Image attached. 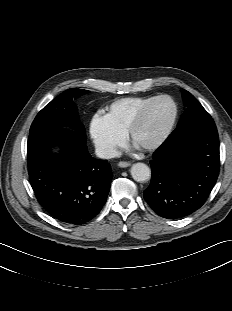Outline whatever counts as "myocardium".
<instances>
[{"instance_id": "myocardium-1", "label": "myocardium", "mask_w": 232, "mask_h": 311, "mask_svg": "<svg viewBox=\"0 0 232 311\" xmlns=\"http://www.w3.org/2000/svg\"><path fill=\"white\" fill-rule=\"evenodd\" d=\"M162 100H166V101L171 103L172 108H173L172 116H171L168 124L164 128V130L161 132V134L154 141H152L151 143L147 144L146 146H144L140 149L143 151H152V150H155L158 147H160L167 140V138L169 137V135L171 134V132L175 126V123H176V120L178 117V107H177V104L175 103V101L170 96L160 95V96H156V97L152 98L150 101H148L146 104H144L139 109V111L136 113V115L134 116V118L132 119L130 124L128 125V127L125 131V134H124L127 142L131 143L132 136H133L135 130L142 123V121L144 120L149 109L155 103L162 101Z\"/></svg>"}]
</instances>
